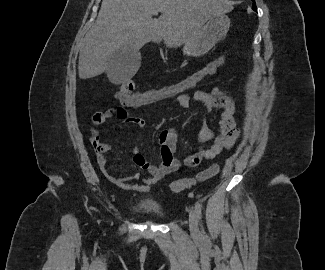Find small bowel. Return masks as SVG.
<instances>
[{"label":"small bowel","mask_w":325,"mask_h":270,"mask_svg":"<svg viewBox=\"0 0 325 270\" xmlns=\"http://www.w3.org/2000/svg\"><path fill=\"white\" fill-rule=\"evenodd\" d=\"M156 89H162V87ZM134 96H144L143 91L135 93ZM174 100L183 109H189L192 101H195L203 107L205 114H210L214 110L223 109L217 134L205 123L202 124L199 130V140L203 143L211 142V145L206 149H200L186 158L185 165L193 167L198 165L202 160H212L222 151L231 148L235 144L239 136L235 121L237 108L235 101L226 93L218 88H214L211 92L196 91L193 96L182 93L181 96H174ZM151 104L155 103H120L118 108L94 114L93 125H101L115 117L118 121H125L134 127L141 128L145 125L144 119L140 116L129 118V112L126 110H131L132 107L140 108ZM177 138V132L173 128H168L161 132L159 135L161 162L157 165L149 162L136 146L133 148L134 164L139 168L147 170L149 173V176L144 178L141 183L137 182L141 178L139 172L122 178L116 177L110 172L106 154L111 150V145L100 141L95 129H93L91 142L96 151L98 165L111 183L125 190L147 192L153 184L179 168L180 161L173 156L177 147Z\"/></svg>","instance_id":"obj_1"}]
</instances>
